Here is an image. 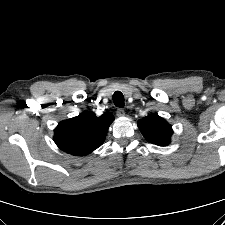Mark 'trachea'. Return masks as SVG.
Returning <instances> with one entry per match:
<instances>
[{
	"instance_id": "3493384b",
	"label": "trachea",
	"mask_w": 225,
	"mask_h": 225,
	"mask_svg": "<svg viewBox=\"0 0 225 225\" xmlns=\"http://www.w3.org/2000/svg\"><path fill=\"white\" fill-rule=\"evenodd\" d=\"M113 102L116 107L120 108L124 107V96L120 91H116L113 94Z\"/></svg>"
}]
</instances>
